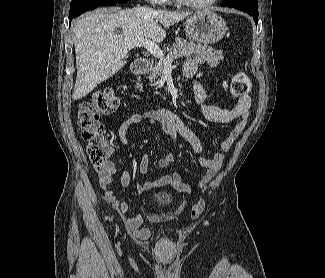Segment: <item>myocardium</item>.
<instances>
[{
	"label": "myocardium",
	"mask_w": 325,
	"mask_h": 278,
	"mask_svg": "<svg viewBox=\"0 0 325 278\" xmlns=\"http://www.w3.org/2000/svg\"><path fill=\"white\" fill-rule=\"evenodd\" d=\"M177 3L180 5L186 6V7H191V8H196V9H205L213 4H215L218 0H207L205 2H195L191 0H175Z\"/></svg>",
	"instance_id": "1"
}]
</instances>
